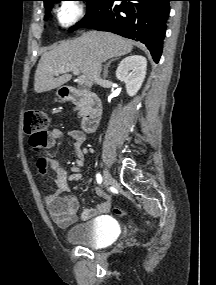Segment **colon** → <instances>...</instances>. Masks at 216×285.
<instances>
[{
	"mask_svg": "<svg viewBox=\"0 0 216 285\" xmlns=\"http://www.w3.org/2000/svg\"><path fill=\"white\" fill-rule=\"evenodd\" d=\"M49 117L41 110H29L25 113L24 132L29 138L31 148L38 151L45 148L49 136ZM114 213L118 216H123L125 211L123 208L117 207Z\"/></svg>",
	"mask_w": 216,
	"mask_h": 285,
	"instance_id": "1",
	"label": "colon"
}]
</instances>
